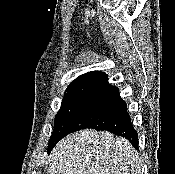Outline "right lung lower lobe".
<instances>
[{"label":"right lung lower lobe","instance_id":"98d812e1","mask_svg":"<svg viewBox=\"0 0 175 174\" xmlns=\"http://www.w3.org/2000/svg\"><path fill=\"white\" fill-rule=\"evenodd\" d=\"M93 128L107 130L128 139L138 149V134L131 124L126 102L120 97L119 89L107 81L93 90L70 121L62 138L72 132ZM57 143L48 147V152Z\"/></svg>","mask_w":175,"mask_h":174}]
</instances>
